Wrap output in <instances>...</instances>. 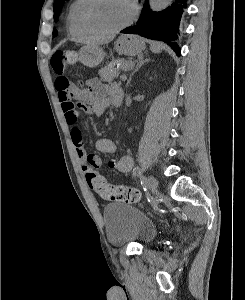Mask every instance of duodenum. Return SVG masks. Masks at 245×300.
<instances>
[{"label": "duodenum", "mask_w": 245, "mask_h": 300, "mask_svg": "<svg viewBox=\"0 0 245 300\" xmlns=\"http://www.w3.org/2000/svg\"><path fill=\"white\" fill-rule=\"evenodd\" d=\"M123 102V96L122 93H118L116 95V106H121Z\"/></svg>", "instance_id": "410a0bca"}]
</instances>
